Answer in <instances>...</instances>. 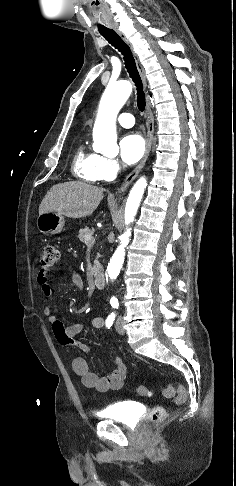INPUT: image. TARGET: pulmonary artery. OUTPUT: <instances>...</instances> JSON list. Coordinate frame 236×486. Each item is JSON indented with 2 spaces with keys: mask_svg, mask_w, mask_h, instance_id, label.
Returning a JSON list of instances; mask_svg holds the SVG:
<instances>
[{
  "mask_svg": "<svg viewBox=\"0 0 236 486\" xmlns=\"http://www.w3.org/2000/svg\"><path fill=\"white\" fill-rule=\"evenodd\" d=\"M118 123L125 128H131L134 123V117L130 113H121L117 119Z\"/></svg>",
  "mask_w": 236,
  "mask_h": 486,
  "instance_id": "1",
  "label": "pulmonary artery"
}]
</instances>
